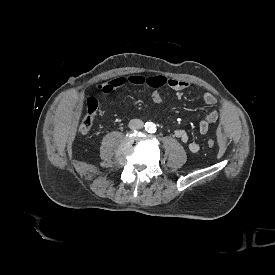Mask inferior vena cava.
<instances>
[{"label":"inferior vena cava","instance_id":"1","mask_svg":"<svg viewBox=\"0 0 275 275\" xmlns=\"http://www.w3.org/2000/svg\"><path fill=\"white\" fill-rule=\"evenodd\" d=\"M143 126L144 122L140 119H131L128 124V127L132 130L141 129Z\"/></svg>","mask_w":275,"mask_h":275}]
</instances>
